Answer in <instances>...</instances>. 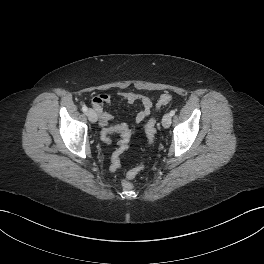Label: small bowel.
Wrapping results in <instances>:
<instances>
[{
	"label": "small bowel",
	"instance_id": "c3829d8e",
	"mask_svg": "<svg viewBox=\"0 0 264 264\" xmlns=\"http://www.w3.org/2000/svg\"><path fill=\"white\" fill-rule=\"evenodd\" d=\"M121 100L133 104L140 102L142 108L134 118L135 124H141L150 115L153 106V98L147 95L135 92H121L119 94ZM111 103V97L107 93L95 95L91 100V106L97 114L100 126L103 128L102 133L109 132L110 134L120 133L121 139L117 149L112 154L110 169L116 171L120 166V156L127 149L123 146L122 140L125 136L131 137L130 128L125 123L112 125L113 116L105 111L104 106Z\"/></svg>",
	"mask_w": 264,
	"mask_h": 264
}]
</instances>
